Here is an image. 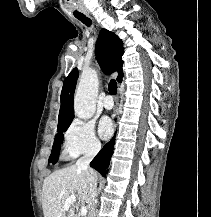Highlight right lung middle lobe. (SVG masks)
Here are the masks:
<instances>
[{"instance_id":"dd1d6c3e","label":"right lung middle lobe","mask_w":211,"mask_h":217,"mask_svg":"<svg viewBox=\"0 0 211 217\" xmlns=\"http://www.w3.org/2000/svg\"><path fill=\"white\" fill-rule=\"evenodd\" d=\"M69 125L70 123H68L65 126H62L60 129H57L58 133L55 136L52 152L49 157V162H53V164H55L58 161L59 154H60V146L64 138L63 133L68 129Z\"/></svg>"}]
</instances>
